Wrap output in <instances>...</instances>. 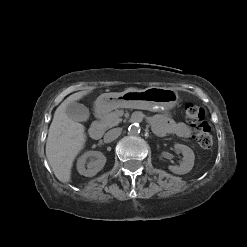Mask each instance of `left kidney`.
I'll list each match as a JSON object with an SVG mask.
<instances>
[{"mask_svg":"<svg viewBox=\"0 0 247 247\" xmlns=\"http://www.w3.org/2000/svg\"><path fill=\"white\" fill-rule=\"evenodd\" d=\"M175 149L180 151L183 155V161L180 166H169V170L174 174L183 175L190 172L194 166L195 155L193 150L183 144H175Z\"/></svg>","mask_w":247,"mask_h":247,"instance_id":"left-kidney-1","label":"left kidney"}]
</instances>
